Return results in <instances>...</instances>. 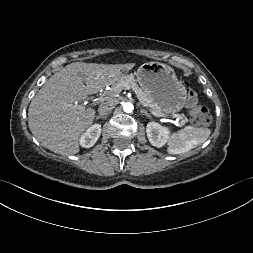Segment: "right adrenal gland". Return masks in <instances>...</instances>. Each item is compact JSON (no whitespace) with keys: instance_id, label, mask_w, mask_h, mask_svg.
<instances>
[{"instance_id":"right-adrenal-gland-1","label":"right adrenal gland","mask_w":253,"mask_h":253,"mask_svg":"<svg viewBox=\"0 0 253 253\" xmlns=\"http://www.w3.org/2000/svg\"><path fill=\"white\" fill-rule=\"evenodd\" d=\"M107 116H103V115H98V116H96V120H98V119H105Z\"/></svg>"}]
</instances>
